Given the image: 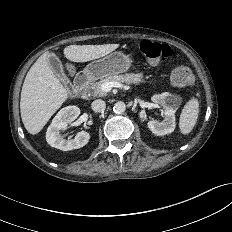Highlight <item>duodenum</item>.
<instances>
[{
	"label": "duodenum",
	"mask_w": 232,
	"mask_h": 232,
	"mask_svg": "<svg viewBox=\"0 0 232 232\" xmlns=\"http://www.w3.org/2000/svg\"><path fill=\"white\" fill-rule=\"evenodd\" d=\"M89 81L90 75L86 72H80L76 75L74 79V84L78 90L83 91L88 86Z\"/></svg>",
	"instance_id": "duodenum-1"
}]
</instances>
